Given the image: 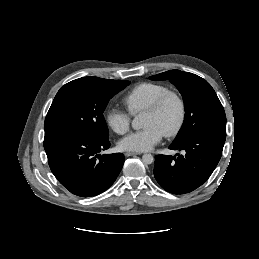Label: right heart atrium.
<instances>
[{"label": "right heart atrium", "mask_w": 259, "mask_h": 259, "mask_svg": "<svg viewBox=\"0 0 259 259\" xmlns=\"http://www.w3.org/2000/svg\"><path fill=\"white\" fill-rule=\"evenodd\" d=\"M105 119L108 126L119 135L125 134L130 128V113L119 108L112 107L108 109L105 114Z\"/></svg>", "instance_id": "obj_1"}]
</instances>
